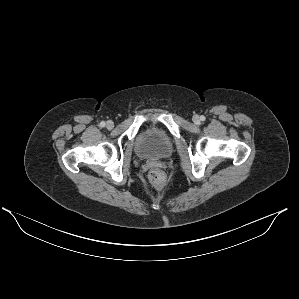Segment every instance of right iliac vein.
I'll list each match as a JSON object with an SVG mask.
<instances>
[{
    "mask_svg": "<svg viewBox=\"0 0 299 299\" xmlns=\"http://www.w3.org/2000/svg\"><path fill=\"white\" fill-rule=\"evenodd\" d=\"M106 127H107L108 129H112V128L114 127V123H113V121H111V120L107 121V123H106Z\"/></svg>",
    "mask_w": 299,
    "mask_h": 299,
    "instance_id": "1",
    "label": "right iliac vein"
}]
</instances>
